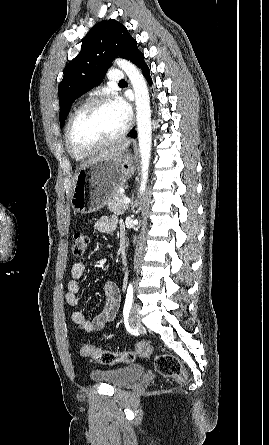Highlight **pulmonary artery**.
Here are the masks:
<instances>
[{"instance_id":"e3ab8cb5","label":"pulmonary artery","mask_w":269,"mask_h":445,"mask_svg":"<svg viewBox=\"0 0 269 445\" xmlns=\"http://www.w3.org/2000/svg\"><path fill=\"white\" fill-rule=\"evenodd\" d=\"M108 78L112 82H120L124 78V75L120 70L113 69L109 71Z\"/></svg>"}]
</instances>
